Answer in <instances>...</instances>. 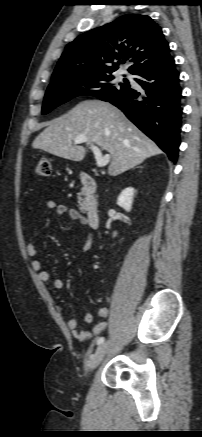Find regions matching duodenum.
Returning a JSON list of instances; mask_svg holds the SVG:
<instances>
[{"mask_svg": "<svg viewBox=\"0 0 202 437\" xmlns=\"http://www.w3.org/2000/svg\"><path fill=\"white\" fill-rule=\"evenodd\" d=\"M80 181L83 186V192L85 195L87 224L92 229H97L100 225L99 208L95 197L96 190H97V183L92 176L86 173H82L80 175Z\"/></svg>", "mask_w": 202, "mask_h": 437, "instance_id": "duodenum-1", "label": "duodenum"}]
</instances>
